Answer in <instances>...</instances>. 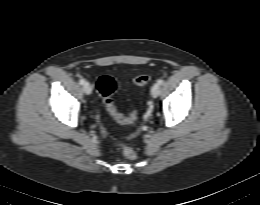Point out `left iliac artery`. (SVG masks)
<instances>
[{
    "label": "left iliac artery",
    "instance_id": "44dca946",
    "mask_svg": "<svg viewBox=\"0 0 260 205\" xmlns=\"http://www.w3.org/2000/svg\"><path fill=\"white\" fill-rule=\"evenodd\" d=\"M163 80L162 79H159L158 81H157V83L159 84V85H162L163 84Z\"/></svg>",
    "mask_w": 260,
    "mask_h": 205
}]
</instances>
